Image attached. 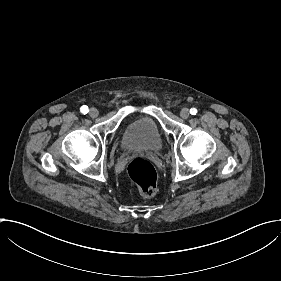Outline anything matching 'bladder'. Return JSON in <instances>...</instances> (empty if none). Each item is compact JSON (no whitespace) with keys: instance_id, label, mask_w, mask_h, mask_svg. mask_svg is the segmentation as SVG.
I'll return each instance as SVG.
<instances>
[{"instance_id":"1","label":"bladder","mask_w":281,"mask_h":281,"mask_svg":"<svg viewBox=\"0 0 281 281\" xmlns=\"http://www.w3.org/2000/svg\"><path fill=\"white\" fill-rule=\"evenodd\" d=\"M123 143L133 149L157 151L161 148L162 139L155 121L148 116H142L125 127Z\"/></svg>"}]
</instances>
